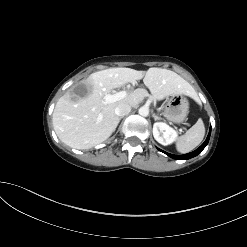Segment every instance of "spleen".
<instances>
[{
  "instance_id": "obj_1",
  "label": "spleen",
  "mask_w": 247,
  "mask_h": 247,
  "mask_svg": "<svg viewBox=\"0 0 247 247\" xmlns=\"http://www.w3.org/2000/svg\"><path fill=\"white\" fill-rule=\"evenodd\" d=\"M205 135V126L202 119L198 121L186 132L180 136L176 142V149L180 153H188L195 149L203 140Z\"/></svg>"
}]
</instances>
